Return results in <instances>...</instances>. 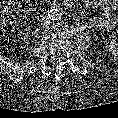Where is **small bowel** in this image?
I'll list each match as a JSON object with an SVG mask.
<instances>
[{"instance_id":"c3829d8e","label":"small bowel","mask_w":118,"mask_h":118,"mask_svg":"<svg viewBox=\"0 0 118 118\" xmlns=\"http://www.w3.org/2000/svg\"><path fill=\"white\" fill-rule=\"evenodd\" d=\"M94 5L101 8L102 14L94 17L93 23L103 30H111L115 25V20L112 18V9L118 10V0H95ZM111 45L118 46V39L111 42Z\"/></svg>"}]
</instances>
